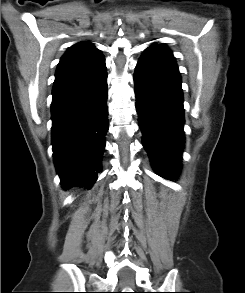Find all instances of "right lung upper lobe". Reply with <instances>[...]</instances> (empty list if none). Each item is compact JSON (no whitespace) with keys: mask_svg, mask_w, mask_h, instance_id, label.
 I'll list each match as a JSON object with an SVG mask.
<instances>
[{"mask_svg":"<svg viewBox=\"0 0 245 293\" xmlns=\"http://www.w3.org/2000/svg\"><path fill=\"white\" fill-rule=\"evenodd\" d=\"M104 67V56L90 42L71 46L58 64L52 94L97 74Z\"/></svg>","mask_w":245,"mask_h":293,"instance_id":"right-lung-upper-lobe-1","label":"right lung upper lobe"}]
</instances>
